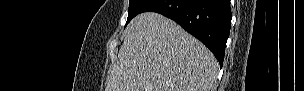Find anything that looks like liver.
<instances>
[{"label": "liver", "mask_w": 304, "mask_h": 91, "mask_svg": "<svg viewBox=\"0 0 304 91\" xmlns=\"http://www.w3.org/2000/svg\"><path fill=\"white\" fill-rule=\"evenodd\" d=\"M106 91H210L218 76L215 56L176 22L154 12L128 24Z\"/></svg>", "instance_id": "obj_1"}]
</instances>
